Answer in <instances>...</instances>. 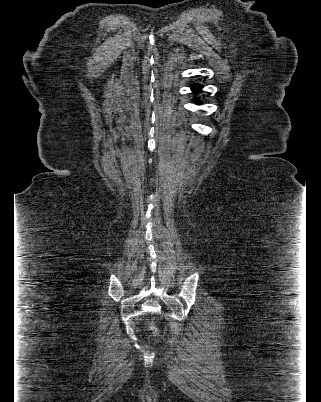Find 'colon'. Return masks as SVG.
Returning a JSON list of instances; mask_svg holds the SVG:
<instances>
[{"instance_id": "obj_1", "label": "colon", "mask_w": 321, "mask_h": 402, "mask_svg": "<svg viewBox=\"0 0 321 402\" xmlns=\"http://www.w3.org/2000/svg\"><path fill=\"white\" fill-rule=\"evenodd\" d=\"M148 329L152 334H154V335L157 334V330H156L155 326L149 325Z\"/></svg>"}]
</instances>
